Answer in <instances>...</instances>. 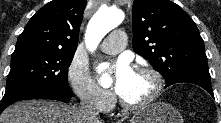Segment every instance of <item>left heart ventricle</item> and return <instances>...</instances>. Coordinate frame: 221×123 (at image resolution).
I'll list each match as a JSON object with an SVG mask.
<instances>
[{
	"label": "left heart ventricle",
	"instance_id": "obj_1",
	"mask_svg": "<svg viewBox=\"0 0 221 123\" xmlns=\"http://www.w3.org/2000/svg\"><path fill=\"white\" fill-rule=\"evenodd\" d=\"M153 89L154 81L148 74L134 71L118 94L129 103H139L149 97Z\"/></svg>",
	"mask_w": 221,
	"mask_h": 123
}]
</instances>
